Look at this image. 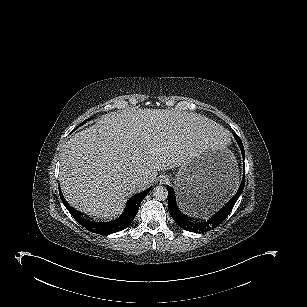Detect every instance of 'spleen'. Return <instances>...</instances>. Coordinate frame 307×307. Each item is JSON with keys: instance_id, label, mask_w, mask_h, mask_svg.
<instances>
[{"instance_id": "obj_1", "label": "spleen", "mask_w": 307, "mask_h": 307, "mask_svg": "<svg viewBox=\"0 0 307 307\" xmlns=\"http://www.w3.org/2000/svg\"><path fill=\"white\" fill-rule=\"evenodd\" d=\"M214 211H215V208H211L210 211H209L208 209H204V210H201V211H199V212H196V213H194V214H192V215H198L199 213H201V214L207 216V215L210 214V212L213 213Z\"/></svg>"}]
</instances>
